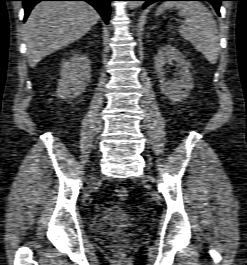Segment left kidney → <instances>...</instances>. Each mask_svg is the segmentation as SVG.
<instances>
[{
  "label": "left kidney",
  "instance_id": "obj_1",
  "mask_svg": "<svg viewBox=\"0 0 247 265\" xmlns=\"http://www.w3.org/2000/svg\"><path fill=\"white\" fill-rule=\"evenodd\" d=\"M176 62L180 68L179 79L166 81L164 78V66L167 62ZM191 64L185 59L184 55L171 45L163 46L154 58V69L160 79L161 92L166 97L174 101H182L187 98L194 87Z\"/></svg>",
  "mask_w": 247,
  "mask_h": 265
}]
</instances>
